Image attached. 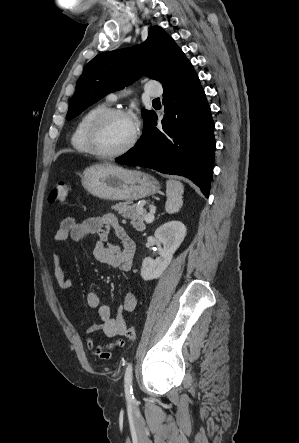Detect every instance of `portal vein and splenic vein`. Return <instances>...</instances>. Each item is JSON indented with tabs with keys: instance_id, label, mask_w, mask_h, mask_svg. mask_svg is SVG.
<instances>
[{
	"instance_id": "1",
	"label": "portal vein and splenic vein",
	"mask_w": 299,
	"mask_h": 443,
	"mask_svg": "<svg viewBox=\"0 0 299 443\" xmlns=\"http://www.w3.org/2000/svg\"><path fill=\"white\" fill-rule=\"evenodd\" d=\"M154 219H155L154 214L153 213H149L146 216L145 221H146V223H152L154 221Z\"/></svg>"
}]
</instances>
